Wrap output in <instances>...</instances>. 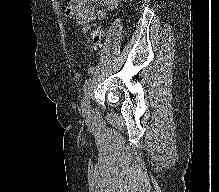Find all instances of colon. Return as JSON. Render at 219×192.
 <instances>
[{
    "mask_svg": "<svg viewBox=\"0 0 219 192\" xmlns=\"http://www.w3.org/2000/svg\"><path fill=\"white\" fill-rule=\"evenodd\" d=\"M102 35L98 27L91 30V48L97 50L101 47Z\"/></svg>",
    "mask_w": 219,
    "mask_h": 192,
    "instance_id": "5ec220e1",
    "label": "colon"
}]
</instances>
